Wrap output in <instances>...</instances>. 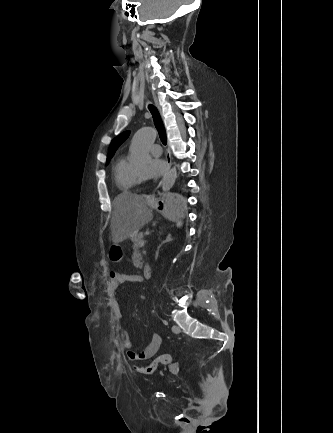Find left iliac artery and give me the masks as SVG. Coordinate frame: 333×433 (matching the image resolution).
I'll list each match as a JSON object with an SVG mask.
<instances>
[{"label": "left iliac artery", "instance_id": "left-iliac-artery-1", "mask_svg": "<svg viewBox=\"0 0 333 433\" xmlns=\"http://www.w3.org/2000/svg\"><path fill=\"white\" fill-rule=\"evenodd\" d=\"M163 323H164L165 325H168V322H167L166 320H163Z\"/></svg>", "mask_w": 333, "mask_h": 433}]
</instances>
